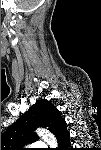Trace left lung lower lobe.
Wrapping results in <instances>:
<instances>
[{"label":"left lung lower lobe","instance_id":"0a47b994","mask_svg":"<svg viewBox=\"0 0 101 150\" xmlns=\"http://www.w3.org/2000/svg\"><path fill=\"white\" fill-rule=\"evenodd\" d=\"M69 139H70L69 132L65 131L64 135H61L58 138L59 145L69 146L70 145Z\"/></svg>","mask_w":101,"mask_h":150}]
</instances>
